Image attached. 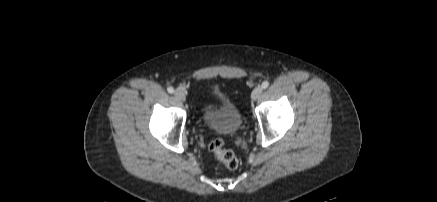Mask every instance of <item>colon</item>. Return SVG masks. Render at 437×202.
<instances>
[{
    "label": "colon",
    "instance_id": "obj_1",
    "mask_svg": "<svg viewBox=\"0 0 437 202\" xmlns=\"http://www.w3.org/2000/svg\"><path fill=\"white\" fill-rule=\"evenodd\" d=\"M208 150L229 170H236L239 167V159L233 151L224 147V141L221 138L212 140L208 145Z\"/></svg>",
    "mask_w": 437,
    "mask_h": 202
}]
</instances>
